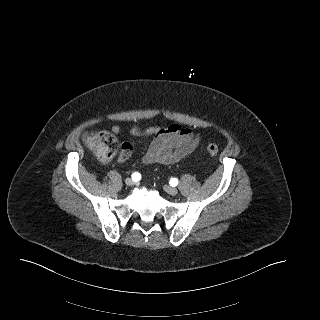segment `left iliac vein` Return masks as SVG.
Masks as SVG:
<instances>
[{
	"mask_svg": "<svg viewBox=\"0 0 320 320\" xmlns=\"http://www.w3.org/2000/svg\"><path fill=\"white\" fill-rule=\"evenodd\" d=\"M163 188L170 195H176L178 193V189L175 187L165 185Z\"/></svg>",
	"mask_w": 320,
	"mask_h": 320,
	"instance_id": "obj_1",
	"label": "left iliac vein"
}]
</instances>
